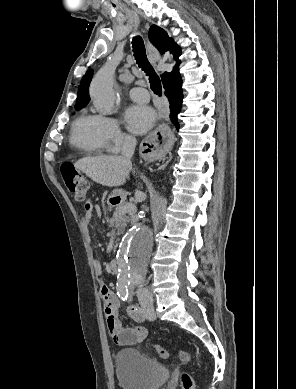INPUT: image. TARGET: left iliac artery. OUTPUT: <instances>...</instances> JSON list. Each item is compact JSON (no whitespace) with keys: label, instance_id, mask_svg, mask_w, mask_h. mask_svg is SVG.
<instances>
[{"label":"left iliac artery","instance_id":"left-iliac-artery-1","mask_svg":"<svg viewBox=\"0 0 296 389\" xmlns=\"http://www.w3.org/2000/svg\"><path fill=\"white\" fill-rule=\"evenodd\" d=\"M130 315L136 319V320H140L142 319V311L137 308V307H132L131 310H130Z\"/></svg>","mask_w":296,"mask_h":389}]
</instances>
